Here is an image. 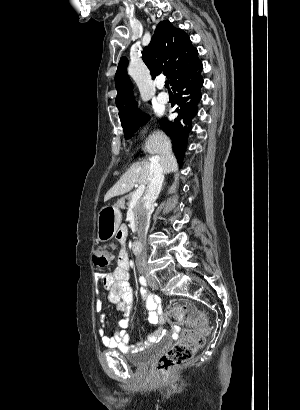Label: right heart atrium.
<instances>
[{
	"label": "right heart atrium",
	"instance_id": "right-heart-atrium-1",
	"mask_svg": "<svg viewBox=\"0 0 300 410\" xmlns=\"http://www.w3.org/2000/svg\"><path fill=\"white\" fill-rule=\"evenodd\" d=\"M145 129H146V127L144 126V127L141 129V133H143V132L145 131Z\"/></svg>",
	"mask_w": 300,
	"mask_h": 410
}]
</instances>
